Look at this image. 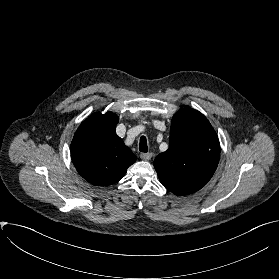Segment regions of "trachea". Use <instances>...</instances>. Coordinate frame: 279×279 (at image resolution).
I'll use <instances>...</instances> for the list:
<instances>
[{"label":"trachea","instance_id":"3493384b","mask_svg":"<svg viewBox=\"0 0 279 279\" xmlns=\"http://www.w3.org/2000/svg\"><path fill=\"white\" fill-rule=\"evenodd\" d=\"M139 151L144 153L148 152L147 140L145 136H141L140 138Z\"/></svg>","mask_w":279,"mask_h":279}]
</instances>
